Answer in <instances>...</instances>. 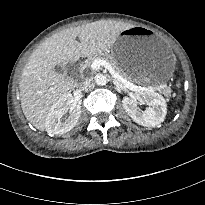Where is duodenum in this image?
Masks as SVG:
<instances>
[{"instance_id": "410a0bca", "label": "duodenum", "mask_w": 205, "mask_h": 205, "mask_svg": "<svg viewBox=\"0 0 205 205\" xmlns=\"http://www.w3.org/2000/svg\"><path fill=\"white\" fill-rule=\"evenodd\" d=\"M77 72H78V75L81 76V66L80 65H78L77 67Z\"/></svg>"}]
</instances>
